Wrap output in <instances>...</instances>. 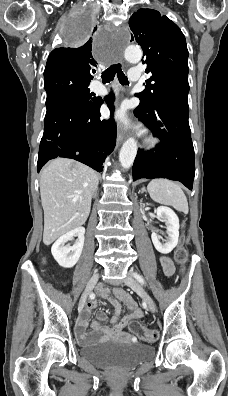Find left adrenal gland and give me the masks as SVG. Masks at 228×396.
<instances>
[{
  "label": "left adrenal gland",
  "instance_id": "a2214340",
  "mask_svg": "<svg viewBox=\"0 0 228 396\" xmlns=\"http://www.w3.org/2000/svg\"><path fill=\"white\" fill-rule=\"evenodd\" d=\"M140 192H141V193L146 192L145 187H143L142 190L139 191V193H140Z\"/></svg>",
  "mask_w": 228,
  "mask_h": 396
}]
</instances>
